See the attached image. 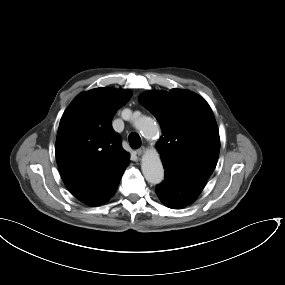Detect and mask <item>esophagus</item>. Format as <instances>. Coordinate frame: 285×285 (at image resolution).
<instances>
[{
  "mask_svg": "<svg viewBox=\"0 0 285 285\" xmlns=\"http://www.w3.org/2000/svg\"><path fill=\"white\" fill-rule=\"evenodd\" d=\"M144 151H145V147H140L136 150V154L140 156L144 153Z\"/></svg>",
  "mask_w": 285,
  "mask_h": 285,
  "instance_id": "obj_1",
  "label": "esophagus"
}]
</instances>
